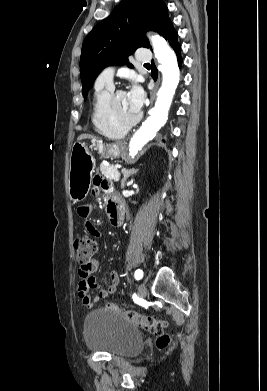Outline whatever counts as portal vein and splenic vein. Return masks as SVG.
Masks as SVG:
<instances>
[{
  "label": "portal vein and splenic vein",
  "mask_w": 267,
  "mask_h": 391,
  "mask_svg": "<svg viewBox=\"0 0 267 391\" xmlns=\"http://www.w3.org/2000/svg\"><path fill=\"white\" fill-rule=\"evenodd\" d=\"M115 168L118 169V168H121V166L120 165H116Z\"/></svg>",
  "instance_id": "18ae733b"
}]
</instances>
